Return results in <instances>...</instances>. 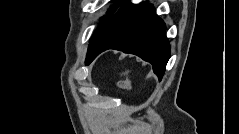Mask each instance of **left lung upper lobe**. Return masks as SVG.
Wrapping results in <instances>:
<instances>
[{"mask_svg":"<svg viewBox=\"0 0 239 134\" xmlns=\"http://www.w3.org/2000/svg\"><path fill=\"white\" fill-rule=\"evenodd\" d=\"M125 0H120L119 2H117V4L112 7L109 12L107 17H104L103 20L101 21L100 25L98 26L97 30L94 32L93 36L96 35L97 33H99L104 27L105 25L108 23V21L111 19L112 14L118 9V7L124 2ZM92 36V37H93Z\"/></svg>","mask_w":239,"mask_h":134,"instance_id":"left-lung-upper-lobe-1","label":"left lung upper lobe"}]
</instances>
